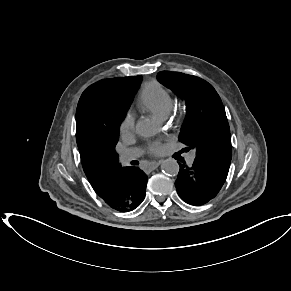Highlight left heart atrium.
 I'll list each match as a JSON object with an SVG mask.
<instances>
[{"label":"left heart atrium","mask_w":291,"mask_h":291,"mask_svg":"<svg viewBox=\"0 0 291 291\" xmlns=\"http://www.w3.org/2000/svg\"><path fill=\"white\" fill-rule=\"evenodd\" d=\"M164 147L158 142H153L149 145V152L153 155H159L163 152Z\"/></svg>","instance_id":"obj_1"}]
</instances>
